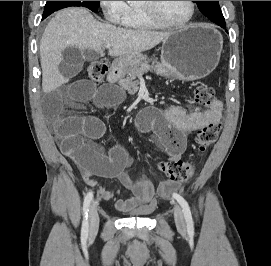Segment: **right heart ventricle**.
<instances>
[{
  "label": "right heart ventricle",
  "instance_id": "obj_1",
  "mask_svg": "<svg viewBox=\"0 0 271 266\" xmlns=\"http://www.w3.org/2000/svg\"><path fill=\"white\" fill-rule=\"evenodd\" d=\"M123 24L132 29H154L158 25L153 23L142 11L140 6L129 5L123 21Z\"/></svg>",
  "mask_w": 271,
  "mask_h": 266
}]
</instances>
